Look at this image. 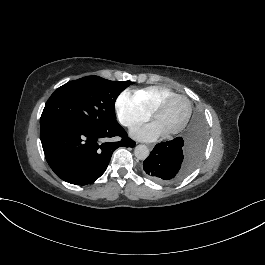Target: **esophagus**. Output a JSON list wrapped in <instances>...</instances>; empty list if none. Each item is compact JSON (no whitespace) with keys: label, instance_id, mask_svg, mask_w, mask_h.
Returning a JSON list of instances; mask_svg holds the SVG:
<instances>
[{"label":"esophagus","instance_id":"1","mask_svg":"<svg viewBox=\"0 0 265 265\" xmlns=\"http://www.w3.org/2000/svg\"><path fill=\"white\" fill-rule=\"evenodd\" d=\"M147 146H148V148H149L150 150H152V149L154 148V144H148Z\"/></svg>","mask_w":265,"mask_h":265}]
</instances>
